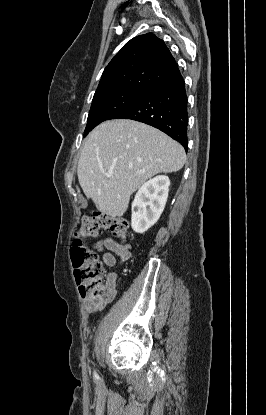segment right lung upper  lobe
Masks as SVG:
<instances>
[{"mask_svg":"<svg viewBox=\"0 0 266 415\" xmlns=\"http://www.w3.org/2000/svg\"><path fill=\"white\" fill-rule=\"evenodd\" d=\"M180 75L165 43L147 33L131 39L113 57L103 71L95 94L122 88L151 91Z\"/></svg>","mask_w":266,"mask_h":415,"instance_id":"1","label":"right lung upper lobe"}]
</instances>
